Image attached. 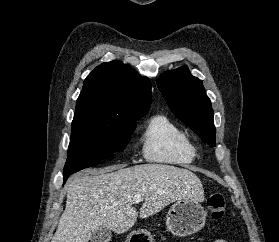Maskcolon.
Returning <instances> with one entry per match:
<instances>
[{
  "instance_id": "obj_1",
  "label": "colon",
  "mask_w": 279,
  "mask_h": 242,
  "mask_svg": "<svg viewBox=\"0 0 279 242\" xmlns=\"http://www.w3.org/2000/svg\"><path fill=\"white\" fill-rule=\"evenodd\" d=\"M207 209L214 220H221L225 212V198L222 193H214L206 200Z\"/></svg>"
}]
</instances>
